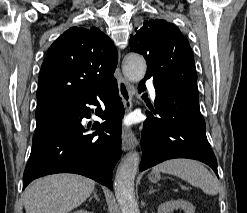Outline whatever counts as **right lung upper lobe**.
<instances>
[{
	"instance_id": "1",
	"label": "right lung upper lobe",
	"mask_w": 247,
	"mask_h": 213,
	"mask_svg": "<svg viewBox=\"0 0 247 213\" xmlns=\"http://www.w3.org/2000/svg\"><path fill=\"white\" fill-rule=\"evenodd\" d=\"M117 50L108 36L93 27H72L49 48L39 79L37 106L61 95H86L115 80Z\"/></svg>"
}]
</instances>
